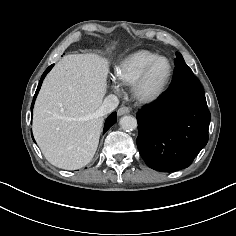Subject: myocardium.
<instances>
[{
  "label": "myocardium",
  "instance_id": "1",
  "mask_svg": "<svg viewBox=\"0 0 236 236\" xmlns=\"http://www.w3.org/2000/svg\"><path fill=\"white\" fill-rule=\"evenodd\" d=\"M161 60L166 61L168 64V72H167L166 78H165L164 82L162 83V85L155 92H151V93L147 92L145 90V83H146L152 69ZM172 76H173V66H172L171 61L164 56H158L157 58L152 60L144 68V70L141 72V74L137 77V79L133 83V93H134L135 97L141 102H145V103L155 102V101L159 100L166 93V91L171 83Z\"/></svg>",
  "mask_w": 236,
  "mask_h": 236
}]
</instances>
